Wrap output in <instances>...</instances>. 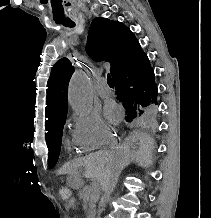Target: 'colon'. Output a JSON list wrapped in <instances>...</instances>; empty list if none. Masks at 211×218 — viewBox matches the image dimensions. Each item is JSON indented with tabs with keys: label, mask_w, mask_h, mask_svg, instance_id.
I'll use <instances>...</instances> for the list:
<instances>
[{
	"label": "colon",
	"mask_w": 211,
	"mask_h": 218,
	"mask_svg": "<svg viewBox=\"0 0 211 218\" xmlns=\"http://www.w3.org/2000/svg\"><path fill=\"white\" fill-rule=\"evenodd\" d=\"M59 195H60L61 199L65 200V201H69L72 198L71 190L67 186H61L59 188Z\"/></svg>",
	"instance_id": "obj_1"
}]
</instances>
